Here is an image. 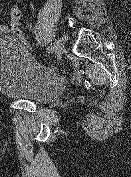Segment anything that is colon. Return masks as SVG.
Wrapping results in <instances>:
<instances>
[{
    "mask_svg": "<svg viewBox=\"0 0 131 177\" xmlns=\"http://www.w3.org/2000/svg\"><path fill=\"white\" fill-rule=\"evenodd\" d=\"M7 25L13 37L20 41L26 48L33 50V46L22 26V11L17 1H13L8 9Z\"/></svg>",
    "mask_w": 131,
    "mask_h": 177,
    "instance_id": "5ec220e1",
    "label": "colon"
}]
</instances>
